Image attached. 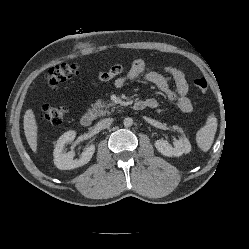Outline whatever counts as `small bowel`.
Masks as SVG:
<instances>
[{"label":"small bowel","mask_w":249,"mask_h":249,"mask_svg":"<svg viewBox=\"0 0 249 249\" xmlns=\"http://www.w3.org/2000/svg\"><path fill=\"white\" fill-rule=\"evenodd\" d=\"M164 71L173 79L175 90L169 87L166 78L162 74L155 71H146V62L143 59L134 60L129 69H125L121 65H114L108 70H100L98 72V79L102 82L113 81L116 88H122L126 83L142 76L146 81L152 83L163 92L168 101L173 103L182 112H191L193 106L187 97L188 83L183 72L173 66H165ZM92 85L98 86L94 81ZM142 101L146 103V108H155L158 106V101L153 97Z\"/></svg>","instance_id":"obj_1"}]
</instances>
